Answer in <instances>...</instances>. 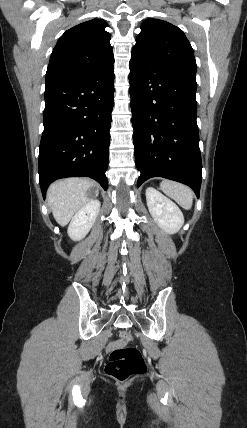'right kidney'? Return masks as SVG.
<instances>
[{
  "label": "right kidney",
  "mask_w": 247,
  "mask_h": 428,
  "mask_svg": "<svg viewBox=\"0 0 247 428\" xmlns=\"http://www.w3.org/2000/svg\"><path fill=\"white\" fill-rule=\"evenodd\" d=\"M100 206L99 200H91L74 215L67 230L72 240L79 241L88 234L96 221Z\"/></svg>",
  "instance_id": "ca27d5eb"
}]
</instances>
